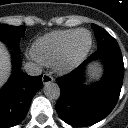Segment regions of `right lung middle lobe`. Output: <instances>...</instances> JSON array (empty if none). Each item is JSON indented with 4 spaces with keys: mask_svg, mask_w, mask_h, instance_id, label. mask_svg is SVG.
Returning a JSON list of instances; mask_svg holds the SVG:
<instances>
[{
    "mask_svg": "<svg viewBox=\"0 0 128 128\" xmlns=\"http://www.w3.org/2000/svg\"><path fill=\"white\" fill-rule=\"evenodd\" d=\"M26 26H11L0 24V40L18 48L19 40L24 35Z\"/></svg>",
    "mask_w": 128,
    "mask_h": 128,
    "instance_id": "1",
    "label": "right lung middle lobe"
}]
</instances>
